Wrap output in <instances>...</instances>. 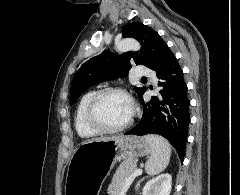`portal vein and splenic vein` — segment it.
<instances>
[{"label":"portal vein and splenic vein","instance_id":"obj_1","mask_svg":"<svg viewBox=\"0 0 240 195\" xmlns=\"http://www.w3.org/2000/svg\"><path fill=\"white\" fill-rule=\"evenodd\" d=\"M143 169H136L134 173H131L129 177L127 178L128 182H124V187L120 191V195H124L126 191L131 187V183L134 181V177H137V175H141Z\"/></svg>","mask_w":240,"mask_h":195}]
</instances>
